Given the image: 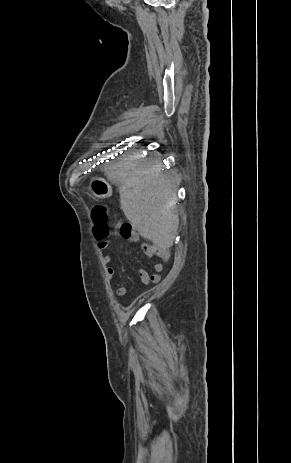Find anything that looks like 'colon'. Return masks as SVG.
Returning <instances> with one entry per match:
<instances>
[{
    "label": "colon",
    "mask_w": 291,
    "mask_h": 463,
    "mask_svg": "<svg viewBox=\"0 0 291 463\" xmlns=\"http://www.w3.org/2000/svg\"><path fill=\"white\" fill-rule=\"evenodd\" d=\"M91 219L93 222L92 233L94 238L98 241V246L103 248L107 245V238L113 231L117 236L122 239H130L133 230L130 223L126 221H117L114 224L109 222V209L104 204H96L91 209ZM155 256L162 260L168 258V253L165 249L153 246Z\"/></svg>",
    "instance_id": "5ec220e1"
}]
</instances>
